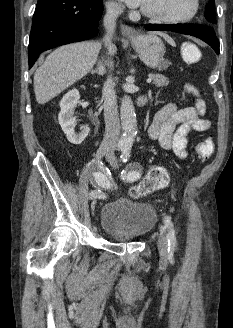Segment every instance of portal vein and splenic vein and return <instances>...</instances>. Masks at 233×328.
<instances>
[{"mask_svg": "<svg viewBox=\"0 0 233 328\" xmlns=\"http://www.w3.org/2000/svg\"><path fill=\"white\" fill-rule=\"evenodd\" d=\"M151 81H152V77L149 76V78L147 79V83H151Z\"/></svg>", "mask_w": 233, "mask_h": 328, "instance_id": "18ae733b", "label": "portal vein and splenic vein"}]
</instances>
